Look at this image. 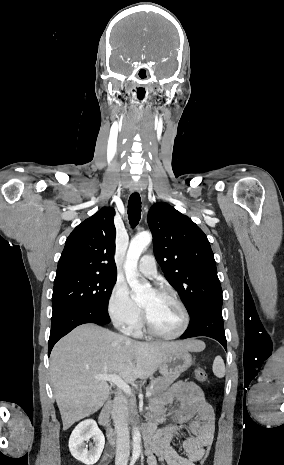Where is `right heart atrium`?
<instances>
[{"instance_id":"obj_1","label":"right heart atrium","mask_w":284,"mask_h":465,"mask_svg":"<svg viewBox=\"0 0 284 465\" xmlns=\"http://www.w3.org/2000/svg\"><path fill=\"white\" fill-rule=\"evenodd\" d=\"M107 313L113 324H118L123 331H129L138 325L141 318L140 309L130 299L125 285L117 283L107 299Z\"/></svg>"}]
</instances>
